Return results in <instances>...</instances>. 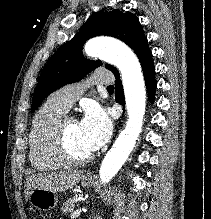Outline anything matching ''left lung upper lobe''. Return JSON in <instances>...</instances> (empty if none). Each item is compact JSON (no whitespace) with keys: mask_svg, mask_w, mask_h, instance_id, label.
Segmentation results:
<instances>
[{"mask_svg":"<svg viewBox=\"0 0 211 219\" xmlns=\"http://www.w3.org/2000/svg\"><path fill=\"white\" fill-rule=\"evenodd\" d=\"M100 35L118 38L134 52L145 39L142 25L133 13H122L116 9L93 14L80 31L61 46L47 62L34 91L32 111L56 89L81 80L88 72L102 65L101 61L87 60L82 55L84 43L89 38ZM105 67L112 72L117 70L109 64Z\"/></svg>","mask_w":211,"mask_h":219,"instance_id":"5c2ea615","label":"left lung upper lobe"}]
</instances>
